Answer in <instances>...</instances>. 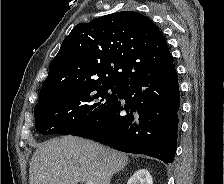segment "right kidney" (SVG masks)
<instances>
[{"instance_id":"1","label":"right kidney","mask_w":224,"mask_h":184,"mask_svg":"<svg viewBox=\"0 0 224 184\" xmlns=\"http://www.w3.org/2000/svg\"><path fill=\"white\" fill-rule=\"evenodd\" d=\"M127 184H153V181L147 169H140L132 175Z\"/></svg>"}]
</instances>
